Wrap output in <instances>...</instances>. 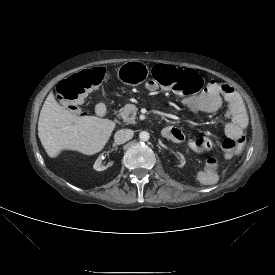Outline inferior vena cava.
I'll return each mask as SVG.
<instances>
[{"label":"inferior vena cava","mask_w":275,"mask_h":275,"mask_svg":"<svg viewBox=\"0 0 275 275\" xmlns=\"http://www.w3.org/2000/svg\"><path fill=\"white\" fill-rule=\"evenodd\" d=\"M134 131L131 129L118 130L114 135V140L117 144H123L133 138Z\"/></svg>","instance_id":"1"}]
</instances>
